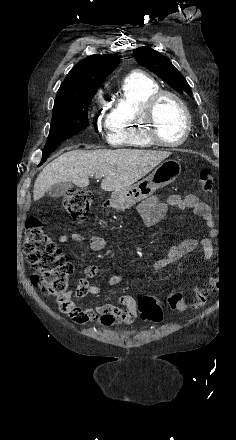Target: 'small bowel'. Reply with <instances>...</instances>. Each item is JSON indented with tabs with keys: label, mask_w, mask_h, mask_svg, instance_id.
I'll use <instances>...</instances> for the list:
<instances>
[{
	"label": "small bowel",
	"mask_w": 236,
	"mask_h": 440,
	"mask_svg": "<svg viewBox=\"0 0 236 440\" xmlns=\"http://www.w3.org/2000/svg\"><path fill=\"white\" fill-rule=\"evenodd\" d=\"M168 206L176 207L180 210H193L210 229V234H215L214 223L208 205L201 202L194 194H189L185 197L172 195L166 203L161 202L157 196L151 195L139 203L138 211L145 225L147 227H153L164 219ZM59 241L62 244L86 243L89 248L95 252L102 251L106 246V241L101 236H86L75 232L63 234L59 238ZM197 245L198 242L195 239H185L179 244L172 246L166 257L153 264V271H162L164 268L178 262L192 252ZM204 245L208 246V242H204ZM97 273V266L92 265L85 269L83 277L79 280L74 293L71 294L72 301L70 305L66 310H62V312L78 323L95 322L106 328L114 325L129 327L138 317L137 300L130 294L121 295L118 299L119 304L124 308L109 303L82 308L73 303V298H83L88 294L97 295L101 293L102 288L91 282V279L94 278ZM121 281L122 276L114 274L109 277L108 285L115 286L121 283Z\"/></svg>",
	"instance_id": "obj_1"
}]
</instances>
